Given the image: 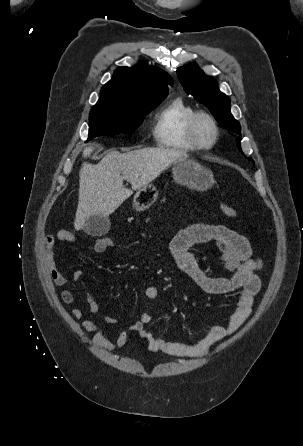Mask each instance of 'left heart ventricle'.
Segmentation results:
<instances>
[{"label": "left heart ventricle", "instance_id": "left-heart-ventricle-1", "mask_svg": "<svg viewBox=\"0 0 303 446\" xmlns=\"http://www.w3.org/2000/svg\"><path fill=\"white\" fill-rule=\"evenodd\" d=\"M196 132L199 140L203 144H209L214 136V131L210 122L204 118L199 119L197 122Z\"/></svg>", "mask_w": 303, "mask_h": 446}]
</instances>
